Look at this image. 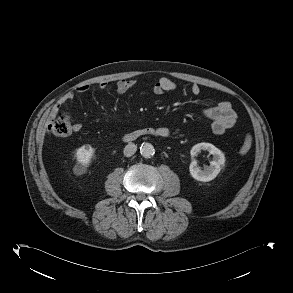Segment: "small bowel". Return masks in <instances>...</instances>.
I'll return each mask as SVG.
<instances>
[{"label":"small bowel","mask_w":293,"mask_h":293,"mask_svg":"<svg viewBox=\"0 0 293 293\" xmlns=\"http://www.w3.org/2000/svg\"><path fill=\"white\" fill-rule=\"evenodd\" d=\"M136 85V80H121L117 82L115 86V90L118 94L123 95L130 91ZM107 87V83L100 82L98 84V88L100 90H105ZM177 88V85L174 81L167 77L159 78L153 85L152 91L155 95H161L163 93L173 91ZM89 91L88 85H82L76 88L75 92L67 93L61 102L56 105L53 109V112H56L61 103L71 101L74 99L75 94H83ZM201 92V89L198 84H193L191 86V93L195 96H198ZM203 114L212 120V131L214 134L222 135L228 129L232 128L237 120V115L233 110L231 104L228 101H220L211 107L204 108L202 110ZM82 129V125L80 123H74L72 125V132L78 133ZM158 132V136L168 137L171 133L170 129L164 126L158 127L155 129Z\"/></svg>","instance_id":"obj_1"}]
</instances>
